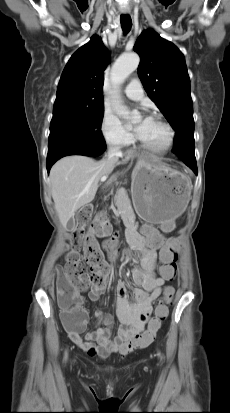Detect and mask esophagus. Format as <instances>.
<instances>
[{
    "mask_svg": "<svg viewBox=\"0 0 230 413\" xmlns=\"http://www.w3.org/2000/svg\"><path fill=\"white\" fill-rule=\"evenodd\" d=\"M123 14H128V12H123Z\"/></svg>",
    "mask_w": 230,
    "mask_h": 413,
    "instance_id": "34e87169",
    "label": "esophagus"
}]
</instances>
